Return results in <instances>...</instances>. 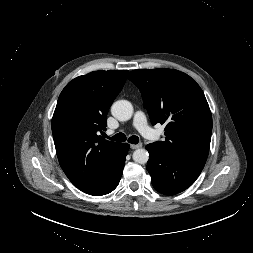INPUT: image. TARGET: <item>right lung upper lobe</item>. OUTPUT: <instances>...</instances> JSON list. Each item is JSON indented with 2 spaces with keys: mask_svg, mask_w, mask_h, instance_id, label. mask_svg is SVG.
<instances>
[{
  "mask_svg": "<svg viewBox=\"0 0 253 253\" xmlns=\"http://www.w3.org/2000/svg\"><path fill=\"white\" fill-rule=\"evenodd\" d=\"M127 70L94 71L70 81L61 92L52 118L60 166L78 188L92 184L121 143L104 140L106 116L123 88Z\"/></svg>",
  "mask_w": 253,
  "mask_h": 253,
  "instance_id": "1",
  "label": "right lung upper lobe"
}]
</instances>
